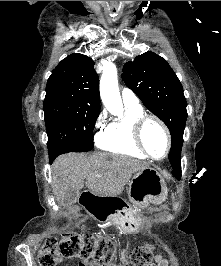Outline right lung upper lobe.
Returning <instances> with one entry per match:
<instances>
[{"label":"right lung upper lobe","instance_id":"cb5924a9","mask_svg":"<svg viewBox=\"0 0 221 266\" xmlns=\"http://www.w3.org/2000/svg\"><path fill=\"white\" fill-rule=\"evenodd\" d=\"M94 61L74 53L64 58L52 71L47 81L46 94L60 93L79 100L91 111H100L99 77Z\"/></svg>","mask_w":221,"mask_h":266}]
</instances>
